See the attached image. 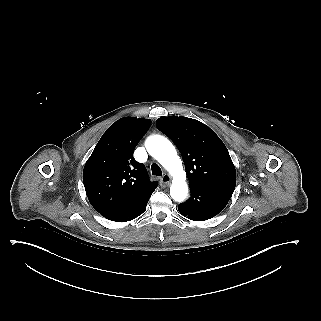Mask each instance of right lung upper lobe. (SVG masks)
Listing matches in <instances>:
<instances>
[{"mask_svg":"<svg viewBox=\"0 0 321 321\" xmlns=\"http://www.w3.org/2000/svg\"><path fill=\"white\" fill-rule=\"evenodd\" d=\"M151 125L148 119L124 117L97 143L83 170V183L93 208L109 219L148 199L157 187L133 152Z\"/></svg>","mask_w":321,"mask_h":321,"instance_id":"obj_1","label":"right lung upper lobe"}]
</instances>
